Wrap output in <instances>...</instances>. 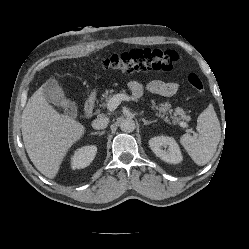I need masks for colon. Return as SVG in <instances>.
I'll list each match as a JSON object with an SVG mask.
<instances>
[{"instance_id":"obj_1","label":"colon","mask_w":249,"mask_h":249,"mask_svg":"<svg viewBox=\"0 0 249 249\" xmlns=\"http://www.w3.org/2000/svg\"><path fill=\"white\" fill-rule=\"evenodd\" d=\"M177 59V53L172 50L145 48L105 57L97 65L104 70L124 73L146 70L170 71L173 69ZM187 81L198 92L204 89L202 79L195 73L189 74Z\"/></svg>"}]
</instances>
